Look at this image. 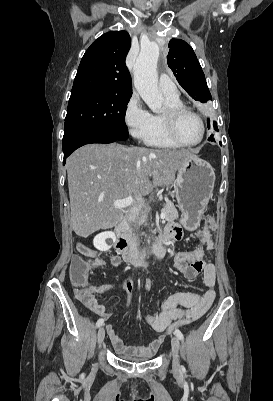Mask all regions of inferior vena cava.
Instances as JSON below:
<instances>
[{
	"instance_id": "obj_1",
	"label": "inferior vena cava",
	"mask_w": 273,
	"mask_h": 401,
	"mask_svg": "<svg viewBox=\"0 0 273 401\" xmlns=\"http://www.w3.org/2000/svg\"><path fill=\"white\" fill-rule=\"evenodd\" d=\"M136 219H137V211L136 209H134V207H132V209H130L129 221L130 223H136Z\"/></svg>"
}]
</instances>
